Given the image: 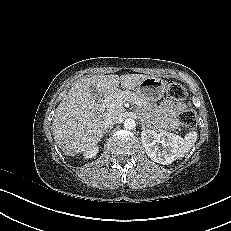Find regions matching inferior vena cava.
I'll list each match as a JSON object with an SVG mask.
<instances>
[{"label": "inferior vena cava", "mask_w": 231, "mask_h": 231, "mask_svg": "<svg viewBox=\"0 0 231 231\" xmlns=\"http://www.w3.org/2000/svg\"><path fill=\"white\" fill-rule=\"evenodd\" d=\"M118 121V117L115 116V115H107L105 118H104V121H103V126L105 129H109L111 127H113L114 124H116V122Z\"/></svg>", "instance_id": "602c4592"}]
</instances>
